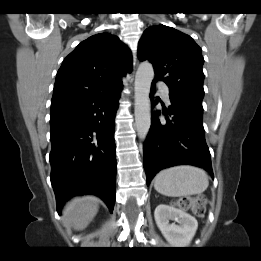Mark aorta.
Instances as JSON below:
<instances>
[{"label":"aorta","mask_w":261,"mask_h":261,"mask_svg":"<svg viewBox=\"0 0 261 261\" xmlns=\"http://www.w3.org/2000/svg\"><path fill=\"white\" fill-rule=\"evenodd\" d=\"M154 77L153 66L149 62L139 65L135 76V125L140 138L145 139L151 126L150 88Z\"/></svg>","instance_id":"obj_1"}]
</instances>
